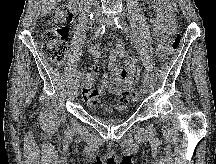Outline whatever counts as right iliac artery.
<instances>
[{
	"label": "right iliac artery",
	"mask_w": 216,
	"mask_h": 164,
	"mask_svg": "<svg viewBox=\"0 0 216 164\" xmlns=\"http://www.w3.org/2000/svg\"><path fill=\"white\" fill-rule=\"evenodd\" d=\"M106 31V25L99 26L95 31V37L102 36ZM74 76V81H79V76L81 75L79 72H77Z\"/></svg>",
	"instance_id": "82829eb1"
}]
</instances>
